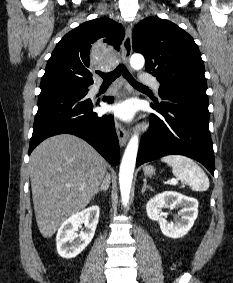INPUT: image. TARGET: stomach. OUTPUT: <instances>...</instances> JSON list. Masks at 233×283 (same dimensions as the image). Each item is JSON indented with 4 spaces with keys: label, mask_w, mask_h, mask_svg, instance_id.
<instances>
[{
    "label": "stomach",
    "mask_w": 233,
    "mask_h": 283,
    "mask_svg": "<svg viewBox=\"0 0 233 283\" xmlns=\"http://www.w3.org/2000/svg\"><path fill=\"white\" fill-rule=\"evenodd\" d=\"M145 176H153L155 174V169L153 166L148 165L143 168Z\"/></svg>",
    "instance_id": "obj_1"
}]
</instances>
